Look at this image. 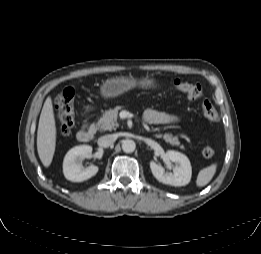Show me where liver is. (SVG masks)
<instances>
[{"mask_svg": "<svg viewBox=\"0 0 261 254\" xmlns=\"http://www.w3.org/2000/svg\"><path fill=\"white\" fill-rule=\"evenodd\" d=\"M56 146V121L51 97L43 105L37 130V151L42 164L49 167Z\"/></svg>", "mask_w": 261, "mask_h": 254, "instance_id": "obj_1", "label": "liver"}]
</instances>
